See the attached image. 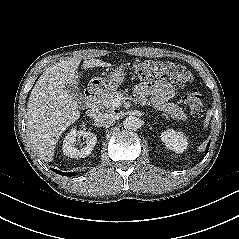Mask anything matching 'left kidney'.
<instances>
[{
  "instance_id": "5707ae66",
  "label": "left kidney",
  "mask_w": 239,
  "mask_h": 239,
  "mask_svg": "<svg viewBox=\"0 0 239 239\" xmlns=\"http://www.w3.org/2000/svg\"><path fill=\"white\" fill-rule=\"evenodd\" d=\"M161 140L165 145L176 153H182L188 145L187 138L182 132H176L173 129H168L161 134Z\"/></svg>"
}]
</instances>
